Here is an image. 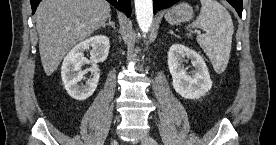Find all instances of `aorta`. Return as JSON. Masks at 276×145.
Listing matches in <instances>:
<instances>
[{
    "label": "aorta",
    "mask_w": 276,
    "mask_h": 145,
    "mask_svg": "<svg viewBox=\"0 0 276 145\" xmlns=\"http://www.w3.org/2000/svg\"><path fill=\"white\" fill-rule=\"evenodd\" d=\"M135 13L140 30L148 33L153 21V1L152 0H134Z\"/></svg>",
    "instance_id": "obj_1"
}]
</instances>
